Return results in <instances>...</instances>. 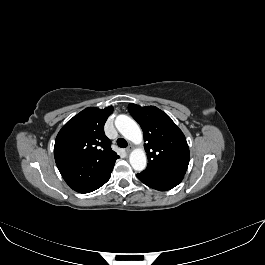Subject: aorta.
Here are the masks:
<instances>
[{
    "mask_svg": "<svg viewBox=\"0 0 265 265\" xmlns=\"http://www.w3.org/2000/svg\"><path fill=\"white\" fill-rule=\"evenodd\" d=\"M118 131L134 144H141L143 134L139 125L126 115H119L115 120ZM129 162L135 171H143L147 165V157L144 149H134L129 157Z\"/></svg>",
    "mask_w": 265,
    "mask_h": 265,
    "instance_id": "obj_1",
    "label": "aorta"
}]
</instances>
